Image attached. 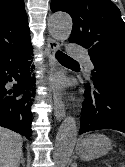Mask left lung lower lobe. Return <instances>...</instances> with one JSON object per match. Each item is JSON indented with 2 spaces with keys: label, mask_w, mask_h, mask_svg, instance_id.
I'll use <instances>...</instances> for the list:
<instances>
[{
  "label": "left lung lower lobe",
  "mask_w": 125,
  "mask_h": 167,
  "mask_svg": "<svg viewBox=\"0 0 125 167\" xmlns=\"http://www.w3.org/2000/svg\"><path fill=\"white\" fill-rule=\"evenodd\" d=\"M85 89L79 135L99 129L125 133V76L97 75Z\"/></svg>",
  "instance_id": "1"
}]
</instances>
